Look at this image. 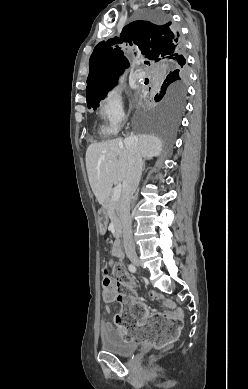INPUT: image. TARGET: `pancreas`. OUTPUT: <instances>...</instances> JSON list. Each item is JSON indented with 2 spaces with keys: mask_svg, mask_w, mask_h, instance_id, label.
Masks as SVG:
<instances>
[{
  "mask_svg": "<svg viewBox=\"0 0 248 389\" xmlns=\"http://www.w3.org/2000/svg\"><path fill=\"white\" fill-rule=\"evenodd\" d=\"M103 212L106 218L110 219L115 227V236L119 238L121 235V222L119 216V200H113V191L110 192L108 198L103 204Z\"/></svg>",
  "mask_w": 248,
  "mask_h": 389,
  "instance_id": "1",
  "label": "pancreas"
}]
</instances>
